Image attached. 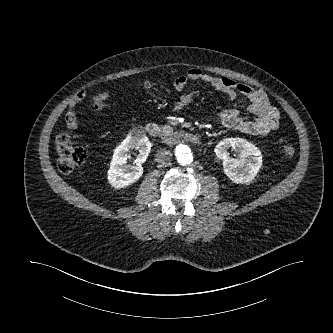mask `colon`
<instances>
[{"instance_id": "5ec220e1", "label": "colon", "mask_w": 333, "mask_h": 333, "mask_svg": "<svg viewBox=\"0 0 333 333\" xmlns=\"http://www.w3.org/2000/svg\"><path fill=\"white\" fill-rule=\"evenodd\" d=\"M146 86H150L147 82ZM98 108V106H96ZM55 152L58 168L62 173L68 174L86 162L87 154L84 149L77 146L68 134H61L55 140ZM296 150L291 145H285L283 155L286 158L295 156Z\"/></svg>"}]
</instances>
